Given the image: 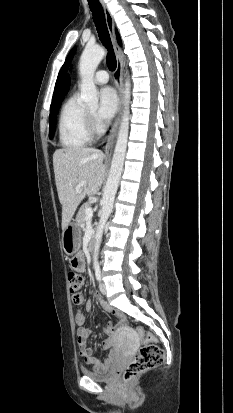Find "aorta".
<instances>
[{"instance_id":"aorta-1","label":"aorta","mask_w":233,"mask_h":413,"mask_svg":"<svg viewBox=\"0 0 233 413\" xmlns=\"http://www.w3.org/2000/svg\"><path fill=\"white\" fill-rule=\"evenodd\" d=\"M106 55V50L102 47H86L80 57L79 74L81 77V100L88 106L97 107L98 91L94 84V73L101 60ZM130 80L125 82L124 90V110L118 131L117 141L112 158L109 176L104 188L102 198V210L99 224L95 236L93 262L98 263V253L105 224L112 212L115 195L119 186V181L123 171L124 159L127 149L129 133V103H130Z\"/></svg>"}]
</instances>
